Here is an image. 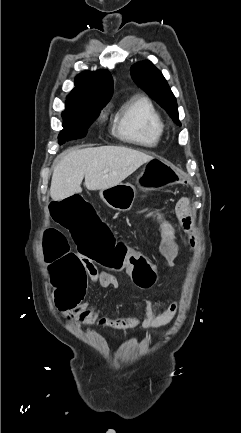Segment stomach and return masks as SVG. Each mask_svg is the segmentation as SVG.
Returning <instances> with one entry per match:
<instances>
[{
	"label": "stomach",
	"instance_id": "stomach-1",
	"mask_svg": "<svg viewBox=\"0 0 241 433\" xmlns=\"http://www.w3.org/2000/svg\"><path fill=\"white\" fill-rule=\"evenodd\" d=\"M100 198L113 210L126 212L132 209L137 196L136 185L125 183L101 190Z\"/></svg>",
	"mask_w": 241,
	"mask_h": 433
}]
</instances>
